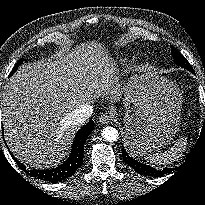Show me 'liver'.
<instances>
[{
  "label": "liver",
  "mask_w": 205,
  "mask_h": 205,
  "mask_svg": "<svg viewBox=\"0 0 205 205\" xmlns=\"http://www.w3.org/2000/svg\"><path fill=\"white\" fill-rule=\"evenodd\" d=\"M54 64L23 65L3 94V119L12 152L26 163L51 164L71 143L69 114L118 78L101 51L68 54Z\"/></svg>",
  "instance_id": "obj_1"
}]
</instances>
